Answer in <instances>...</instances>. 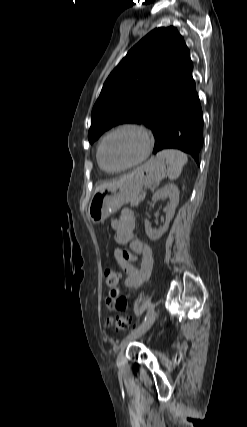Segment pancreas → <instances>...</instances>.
<instances>
[{"label": "pancreas", "instance_id": "1", "mask_svg": "<svg viewBox=\"0 0 247 427\" xmlns=\"http://www.w3.org/2000/svg\"><path fill=\"white\" fill-rule=\"evenodd\" d=\"M144 198H145V193H142L141 195L137 196L135 199H133L130 202L131 206H138L139 203L144 200Z\"/></svg>", "mask_w": 247, "mask_h": 427}]
</instances>
